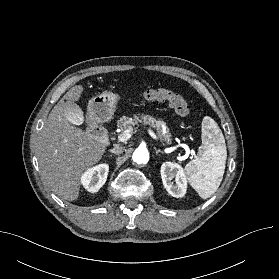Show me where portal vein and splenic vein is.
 Returning <instances> with one entry per match:
<instances>
[{"label": "portal vein and splenic vein", "mask_w": 279, "mask_h": 279, "mask_svg": "<svg viewBox=\"0 0 279 279\" xmlns=\"http://www.w3.org/2000/svg\"><path fill=\"white\" fill-rule=\"evenodd\" d=\"M149 133L153 138H156V135L151 130H149ZM130 137H131V131L130 130H125L124 132H122L118 136V141L119 142H126Z\"/></svg>", "instance_id": "obj_1"}]
</instances>
